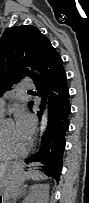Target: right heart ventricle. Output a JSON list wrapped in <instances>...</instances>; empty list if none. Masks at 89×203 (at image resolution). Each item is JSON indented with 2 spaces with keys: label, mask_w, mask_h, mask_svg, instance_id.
I'll list each match as a JSON object with an SVG mask.
<instances>
[{
  "label": "right heart ventricle",
  "mask_w": 89,
  "mask_h": 203,
  "mask_svg": "<svg viewBox=\"0 0 89 203\" xmlns=\"http://www.w3.org/2000/svg\"><path fill=\"white\" fill-rule=\"evenodd\" d=\"M5 158H7V157L4 155V153L0 152V159L2 160V159H5Z\"/></svg>",
  "instance_id": "right-heart-ventricle-1"
}]
</instances>
